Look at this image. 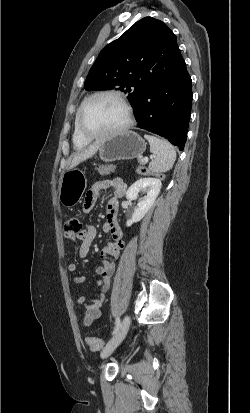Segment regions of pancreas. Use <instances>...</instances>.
Segmentation results:
<instances>
[{
  "mask_svg": "<svg viewBox=\"0 0 250 413\" xmlns=\"http://www.w3.org/2000/svg\"><path fill=\"white\" fill-rule=\"evenodd\" d=\"M140 163L142 164L143 161L141 160ZM115 168H116V166L111 165V164L110 165H99L96 168V170L99 172L100 175H108V174H110V172H114ZM141 169H142V167H139L137 172L142 175L144 173L141 172Z\"/></svg>",
  "mask_w": 250,
  "mask_h": 413,
  "instance_id": "1",
  "label": "pancreas"
}]
</instances>
